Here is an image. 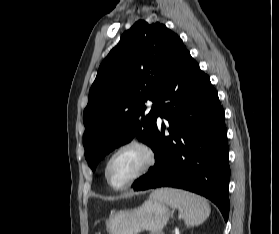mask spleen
<instances>
[{
  "label": "spleen",
  "mask_w": 279,
  "mask_h": 234,
  "mask_svg": "<svg viewBox=\"0 0 279 234\" xmlns=\"http://www.w3.org/2000/svg\"><path fill=\"white\" fill-rule=\"evenodd\" d=\"M151 198L164 202L174 209H179L183 213L185 223L190 227L201 225L210 215L208 202L194 193L163 188L152 193Z\"/></svg>",
  "instance_id": "spleen-1"
}]
</instances>
